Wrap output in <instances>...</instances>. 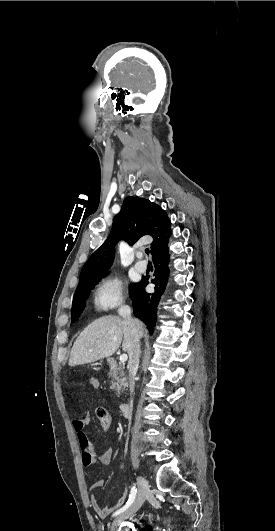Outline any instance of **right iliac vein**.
Wrapping results in <instances>:
<instances>
[{"instance_id":"obj_1","label":"right iliac vein","mask_w":275,"mask_h":531,"mask_svg":"<svg viewBox=\"0 0 275 531\" xmlns=\"http://www.w3.org/2000/svg\"><path fill=\"white\" fill-rule=\"evenodd\" d=\"M138 484V494L131 506H129L125 511H123L120 515H118L111 526V531H114L117 526L125 519L133 516L142 506L145 499L149 495V486L148 482L144 477H138L137 479Z\"/></svg>"}]
</instances>
